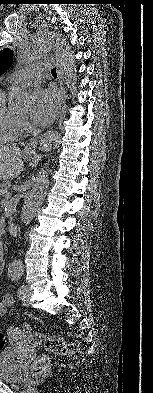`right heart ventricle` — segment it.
<instances>
[{
    "label": "right heart ventricle",
    "mask_w": 153,
    "mask_h": 393,
    "mask_svg": "<svg viewBox=\"0 0 153 393\" xmlns=\"http://www.w3.org/2000/svg\"><path fill=\"white\" fill-rule=\"evenodd\" d=\"M23 131V124L6 107V93L0 91V144L10 143Z\"/></svg>",
    "instance_id": "right-heart-ventricle-1"
}]
</instances>
